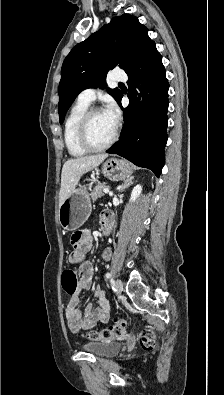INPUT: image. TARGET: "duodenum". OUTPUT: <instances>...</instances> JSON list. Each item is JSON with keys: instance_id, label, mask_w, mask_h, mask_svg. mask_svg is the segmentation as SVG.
Returning a JSON list of instances; mask_svg holds the SVG:
<instances>
[{"instance_id": "410a0bca", "label": "duodenum", "mask_w": 224, "mask_h": 395, "mask_svg": "<svg viewBox=\"0 0 224 395\" xmlns=\"http://www.w3.org/2000/svg\"><path fill=\"white\" fill-rule=\"evenodd\" d=\"M113 215L109 211H105L101 214V228L104 235H109L113 225Z\"/></svg>"}]
</instances>
